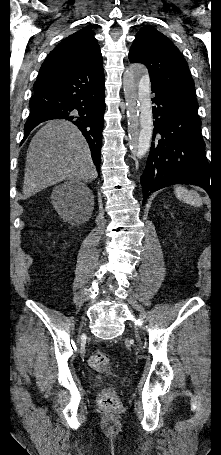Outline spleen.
Instances as JSON below:
<instances>
[{"label":"spleen","instance_id":"1","mask_svg":"<svg viewBox=\"0 0 221 455\" xmlns=\"http://www.w3.org/2000/svg\"><path fill=\"white\" fill-rule=\"evenodd\" d=\"M174 193L179 200L184 201L187 204L196 207L202 205V199L200 195L193 190H188L183 186H178L175 188Z\"/></svg>","mask_w":221,"mask_h":455}]
</instances>
